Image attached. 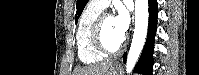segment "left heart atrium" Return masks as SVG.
<instances>
[{
  "mask_svg": "<svg viewBox=\"0 0 199 75\" xmlns=\"http://www.w3.org/2000/svg\"><path fill=\"white\" fill-rule=\"evenodd\" d=\"M113 23L118 34L124 38L129 26V17L126 11L119 10L113 17Z\"/></svg>",
  "mask_w": 199,
  "mask_h": 75,
  "instance_id": "obj_1",
  "label": "left heart atrium"
}]
</instances>
